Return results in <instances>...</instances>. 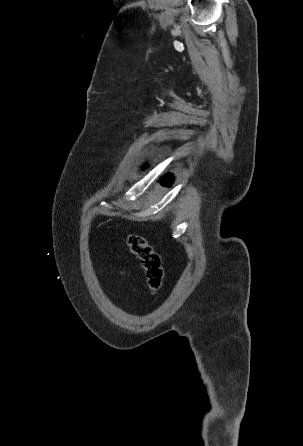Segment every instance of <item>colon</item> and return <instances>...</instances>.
<instances>
[{"mask_svg": "<svg viewBox=\"0 0 303 446\" xmlns=\"http://www.w3.org/2000/svg\"><path fill=\"white\" fill-rule=\"evenodd\" d=\"M127 246L135 255L145 271L146 283L151 293H156L162 286L164 269L161 256L149 244L147 239L138 234L127 238Z\"/></svg>", "mask_w": 303, "mask_h": 446, "instance_id": "colon-1", "label": "colon"}]
</instances>
